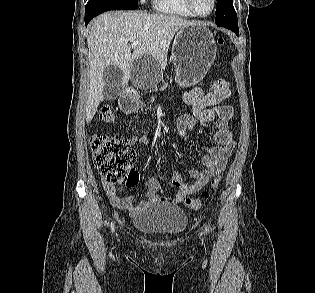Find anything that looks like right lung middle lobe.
Returning <instances> with one entry per match:
<instances>
[{
	"instance_id": "1",
	"label": "right lung middle lobe",
	"mask_w": 315,
	"mask_h": 293,
	"mask_svg": "<svg viewBox=\"0 0 315 293\" xmlns=\"http://www.w3.org/2000/svg\"><path fill=\"white\" fill-rule=\"evenodd\" d=\"M114 1L121 3L123 5H127V6H133V7L138 6V0H114Z\"/></svg>"
}]
</instances>
